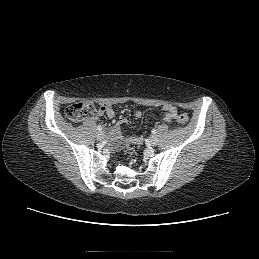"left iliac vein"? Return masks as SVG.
Returning a JSON list of instances; mask_svg holds the SVG:
<instances>
[{
    "mask_svg": "<svg viewBox=\"0 0 259 259\" xmlns=\"http://www.w3.org/2000/svg\"><path fill=\"white\" fill-rule=\"evenodd\" d=\"M148 142L151 146H156L158 143V138L155 135L149 137Z\"/></svg>",
    "mask_w": 259,
    "mask_h": 259,
    "instance_id": "1",
    "label": "left iliac vein"
}]
</instances>
